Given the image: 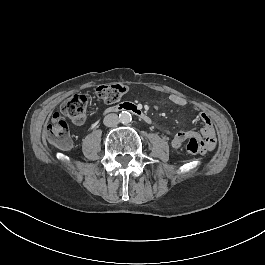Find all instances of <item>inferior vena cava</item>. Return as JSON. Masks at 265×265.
<instances>
[{
  "instance_id": "inferior-vena-cava-1",
  "label": "inferior vena cava",
  "mask_w": 265,
  "mask_h": 265,
  "mask_svg": "<svg viewBox=\"0 0 265 265\" xmlns=\"http://www.w3.org/2000/svg\"><path fill=\"white\" fill-rule=\"evenodd\" d=\"M103 123L107 127H114L119 123V118L117 114L111 113L104 117Z\"/></svg>"
}]
</instances>
